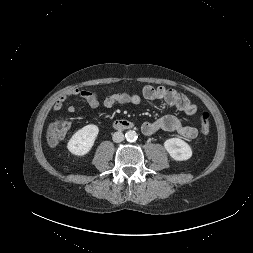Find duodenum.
<instances>
[{"instance_id": "obj_1", "label": "duodenum", "mask_w": 253, "mask_h": 253, "mask_svg": "<svg viewBox=\"0 0 253 253\" xmlns=\"http://www.w3.org/2000/svg\"><path fill=\"white\" fill-rule=\"evenodd\" d=\"M134 126V124L125 119L116 120L113 122V127L116 129H131Z\"/></svg>"}]
</instances>
